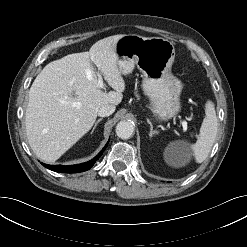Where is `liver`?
<instances>
[{"instance_id":"liver-1","label":"liver","mask_w":247,"mask_h":247,"mask_svg":"<svg viewBox=\"0 0 247 247\" xmlns=\"http://www.w3.org/2000/svg\"><path fill=\"white\" fill-rule=\"evenodd\" d=\"M121 37H106L89 52L52 61L37 75L29 90L25 126L38 158L48 163L58 160L92 128L102 105L116 106L122 101L125 82L116 53ZM91 61L115 91L99 88Z\"/></svg>"}]
</instances>
